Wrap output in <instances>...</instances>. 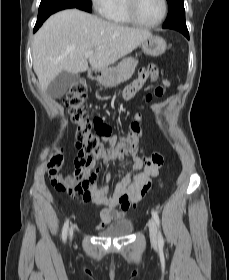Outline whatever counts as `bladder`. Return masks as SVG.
Segmentation results:
<instances>
[{
	"label": "bladder",
	"mask_w": 229,
	"mask_h": 280,
	"mask_svg": "<svg viewBox=\"0 0 229 280\" xmlns=\"http://www.w3.org/2000/svg\"><path fill=\"white\" fill-rule=\"evenodd\" d=\"M134 229V224L131 220H121L109 228L100 231L99 235L105 237H123L129 235Z\"/></svg>",
	"instance_id": "1"
}]
</instances>
